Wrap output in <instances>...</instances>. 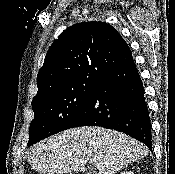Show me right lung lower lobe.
Listing matches in <instances>:
<instances>
[{"label":"right lung lower lobe","instance_id":"1","mask_svg":"<svg viewBox=\"0 0 175 174\" xmlns=\"http://www.w3.org/2000/svg\"><path fill=\"white\" fill-rule=\"evenodd\" d=\"M89 125L123 132L152 151L151 122L144 87L133 59L111 70L97 82L68 128Z\"/></svg>","mask_w":175,"mask_h":174}]
</instances>
